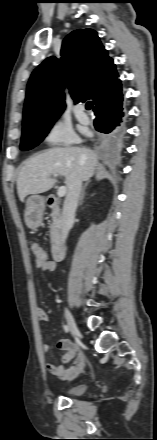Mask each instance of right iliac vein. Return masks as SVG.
Wrapping results in <instances>:
<instances>
[{"mask_svg": "<svg viewBox=\"0 0 157 440\" xmlns=\"http://www.w3.org/2000/svg\"><path fill=\"white\" fill-rule=\"evenodd\" d=\"M65 316H66V320H67V324L69 327V330L71 331L73 336H78L80 334V331L73 319L72 314L70 313L68 308H65Z\"/></svg>", "mask_w": 157, "mask_h": 440, "instance_id": "right-iliac-vein-1", "label": "right iliac vein"}]
</instances>
